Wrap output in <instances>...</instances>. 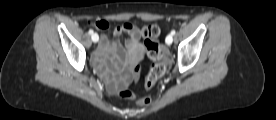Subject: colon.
<instances>
[{
	"label": "colon",
	"instance_id": "colon-1",
	"mask_svg": "<svg viewBox=\"0 0 276 120\" xmlns=\"http://www.w3.org/2000/svg\"><path fill=\"white\" fill-rule=\"evenodd\" d=\"M141 34L144 38V44L148 57L155 63L152 66L148 76L145 80V88L151 89L156 82L165 74L167 69L168 57L166 51L159 42L160 28L156 24H151L143 27ZM140 72V65L135 64L132 67V75L134 80L138 79ZM122 99H134L139 106H147L150 103L148 97L134 98V95L129 90H122L118 93Z\"/></svg>",
	"mask_w": 276,
	"mask_h": 120
}]
</instances>
